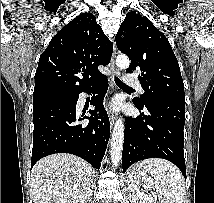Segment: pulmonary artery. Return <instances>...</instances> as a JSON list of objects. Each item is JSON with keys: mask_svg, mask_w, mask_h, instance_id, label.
Segmentation results:
<instances>
[{"mask_svg": "<svg viewBox=\"0 0 214 203\" xmlns=\"http://www.w3.org/2000/svg\"><path fill=\"white\" fill-rule=\"evenodd\" d=\"M125 84L129 87L139 90L141 93L143 92V89L139 80L134 78L130 73L127 74L125 77Z\"/></svg>", "mask_w": 214, "mask_h": 203, "instance_id": "1", "label": "pulmonary artery"}]
</instances>
